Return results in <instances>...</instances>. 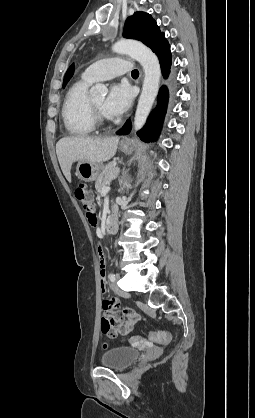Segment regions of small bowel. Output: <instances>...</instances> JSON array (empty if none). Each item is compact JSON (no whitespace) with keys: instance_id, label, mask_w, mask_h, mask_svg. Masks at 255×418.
I'll list each match as a JSON object with an SVG mask.
<instances>
[{"instance_id":"c3829d8e","label":"small bowel","mask_w":255,"mask_h":418,"mask_svg":"<svg viewBox=\"0 0 255 418\" xmlns=\"http://www.w3.org/2000/svg\"><path fill=\"white\" fill-rule=\"evenodd\" d=\"M104 247L105 242L99 241L98 247L95 250L96 255L100 256V283L103 292L105 290L106 285V270L103 258V256L106 253V250ZM102 305L104 315L102 318L101 329L102 332L108 335L109 337H115L118 334H124L129 332L140 319V316L132 309L123 308L122 310H118L119 302L116 299L105 298L102 301ZM123 320H125L124 324H122Z\"/></svg>"}]
</instances>
